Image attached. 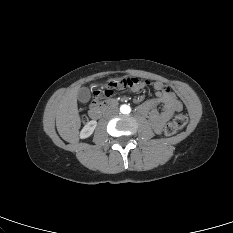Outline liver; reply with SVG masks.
<instances>
[{
    "label": "liver",
    "mask_w": 233,
    "mask_h": 233,
    "mask_svg": "<svg viewBox=\"0 0 233 233\" xmlns=\"http://www.w3.org/2000/svg\"><path fill=\"white\" fill-rule=\"evenodd\" d=\"M78 91L79 88L68 90L57 105V131L67 142H72L77 138L81 126V119L77 107Z\"/></svg>",
    "instance_id": "6515ba94"
}]
</instances>
